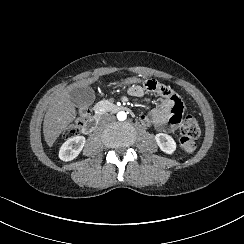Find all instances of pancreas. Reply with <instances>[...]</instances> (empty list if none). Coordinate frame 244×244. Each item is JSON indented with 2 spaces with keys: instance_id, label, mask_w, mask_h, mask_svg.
<instances>
[{
  "instance_id": "cf45deb5",
  "label": "pancreas",
  "mask_w": 244,
  "mask_h": 244,
  "mask_svg": "<svg viewBox=\"0 0 244 244\" xmlns=\"http://www.w3.org/2000/svg\"><path fill=\"white\" fill-rule=\"evenodd\" d=\"M101 103H102V105L105 106V107H109L110 104H111V102L108 101V100H103V101H101Z\"/></svg>"
}]
</instances>
